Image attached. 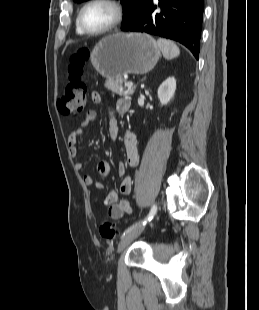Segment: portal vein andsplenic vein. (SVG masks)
<instances>
[{
	"instance_id": "portal-vein-and-splenic-vein-1",
	"label": "portal vein and splenic vein",
	"mask_w": 259,
	"mask_h": 310,
	"mask_svg": "<svg viewBox=\"0 0 259 310\" xmlns=\"http://www.w3.org/2000/svg\"><path fill=\"white\" fill-rule=\"evenodd\" d=\"M124 86L131 88L133 86V82H125Z\"/></svg>"
}]
</instances>
